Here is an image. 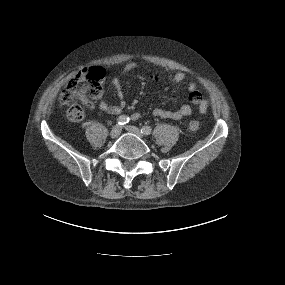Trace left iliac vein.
Returning <instances> with one entry per match:
<instances>
[{"label": "left iliac vein", "mask_w": 285, "mask_h": 285, "mask_svg": "<svg viewBox=\"0 0 285 285\" xmlns=\"http://www.w3.org/2000/svg\"><path fill=\"white\" fill-rule=\"evenodd\" d=\"M125 129L130 132V133H133L135 135H137L138 137L140 138H143L144 135L143 133L140 131V129H138L137 127H134V126H126Z\"/></svg>", "instance_id": "left-iliac-vein-1"}]
</instances>
